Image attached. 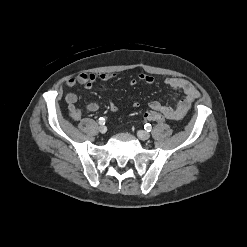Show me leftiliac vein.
<instances>
[{
  "instance_id": "left-iliac-vein-1",
  "label": "left iliac vein",
  "mask_w": 247,
  "mask_h": 247,
  "mask_svg": "<svg viewBox=\"0 0 247 247\" xmlns=\"http://www.w3.org/2000/svg\"><path fill=\"white\" fill-rule=\"evenodd\" d=\"M137 136L139 137L140 140H148L150 138V134L146 131L139 130L137 132Z\"/></svg>"
}]
</instances>
